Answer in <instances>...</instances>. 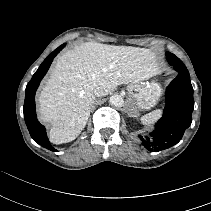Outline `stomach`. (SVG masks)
Segmentation results:
<instances>
[{"label":"stomach","instance_id":"stomach-1","mask_svg":"<svg viewBox=\"0 0 211 211\" xmlns=\"http://www.w3.org/2000/svg\"><path fill=\"white\" fill-rule=\"evenodd\" d=\"M132 106L138 110H150L160 100L163 90L160 84L152 82H138L127 88Z\"/></svg>","mask_w":211,"mask_h":211}]
</instances>
